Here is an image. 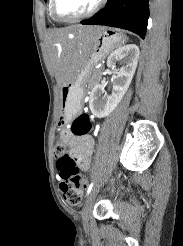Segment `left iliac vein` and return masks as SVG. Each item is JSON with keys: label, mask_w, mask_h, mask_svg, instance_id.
<instances>
[{"label": "left iliac vein", "mask_w": 183, "mask_h": 246, "mask_svg": "<svg viewBox=\"0 0 183 246\" xmlns=\"http://www.w3.org/2000/svg\"><path fill=\"white\" fill-rule=\"evenodd\" d=\"M97 193H98L97 187L93 188L82 209V222L85 229L89 228L90 212L93 207L94 201L96 199Z\"/></svg>", "instance_id": "1"}]
</instances>
